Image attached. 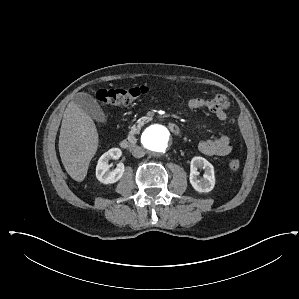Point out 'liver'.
<instances>
[{
    "label": "liver",
    "mask_w": 299,
    "mask_h": 299,
    "mask_svg": "<svg viewBox=\"0 0 299 299\" xmlns=\"http://www.w3.org/2000/svg\"><path fill=\"white\" fill-rule=\"evenodd\" d=\"M99 135L91 117L71 101L64 112L59 136V153L65 170L82 182L96 154Z\"/></svg>",
    "instance_id": "1"
}]
</instances>
